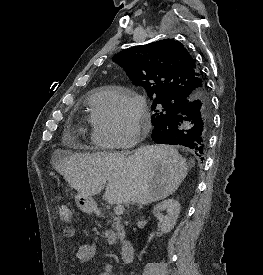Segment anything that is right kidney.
I'll return each mask as SVG.
<instances>
[{
	"mask_svg": "<svg viewBox=\"0 0 263 275\" xmlns=\"http://www.w3.org/2000/svg\"><path fill=\"white\" fill-rule=\"evenodd\" d=\"M180 208V203L174 199L164 200L154 207L153 214L160 222L162 233H169L174 228L180 213ZM162 211H166L167 215L164 216Z\"/></svg>",
	"mask_w": 263,
	"mask_h": 275,
	"instance_id": "obj_1",
	"label": "right kidney"
}]
</instances>
